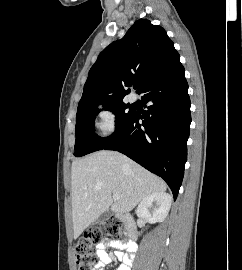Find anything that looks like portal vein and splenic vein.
<instances>
[{"mask_svg": "<svg viewBox=\"0 0 242 270\" xmlns=\"http://www.w3.org/2000/svg\"><path fill=\"white\" fill-rule=\"evenodd\" d=\"M120 198L119 194H113V199L118 200Z\"/></svg>", "mask_w": 242, "mask_h": 270, "instance_id": "18ae733b", "label": "portal vein and splenic vein"}]
</instances>
